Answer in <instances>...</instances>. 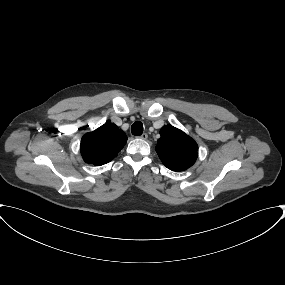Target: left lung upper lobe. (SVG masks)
Here are the masks:
<instances>
[{
    "label": "left lung upper lobe",
    "mask_w": 285,
    "mask_h": 285,
    "mask_svg": "<svg viewBox=\"0 0 285 285\" xmlns=\"http://www.w3.org/2000/svg\"><path fill=\"white\" fill-rule=\"evenodd\" d=\"M156 152L162 163L172 171H183L197 159L196 142L183 131L166 125L160 130Z\"/></svg>",
    "instance_id": "obj_1"
}]
</instances>
